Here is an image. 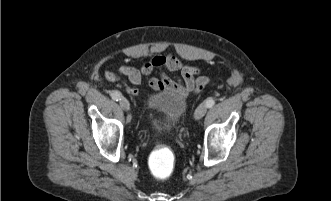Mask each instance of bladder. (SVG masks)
Returning a JSON list of instances; mask_svg holds the SVG:
<instances>
[{
	"label": "bladder",
	"mask_w": 331,
	"mask_h": 201,
	"mask_svg": "<svg viewBox=\"0 0 331 201\" xmlns=\"http://www.w3.org/2000/svg\"><path fill=\"white\" fill-rule=\"evenodd\" d=\"M145 107L158 128L172 130L185 116L188 100L174 91L164 90L149 94Z\"/></svg>",
	"instance_id": "31cf9c89"
}]
</instances>
